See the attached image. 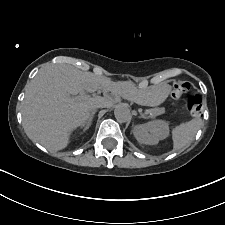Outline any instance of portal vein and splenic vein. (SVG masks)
Instances as JSON below:
<instances>
[{"label":"portal vein and splenic vein","instance_id":"18ae733b","mask_svg":"<svg viewBox=\"0 0 225 225\" xmlns=\"http://www.w3.org/2000/svg\"><path fill=\"white\" fill-rule=\"evenodd\" d=\"M78 97H80V98H85V97H86V95H85V93H84V92H81V93H80V96H78ZM146 113H148V111H146Z\"/></svg>","mask_w":225,"mask_h":225}]
</instances>
